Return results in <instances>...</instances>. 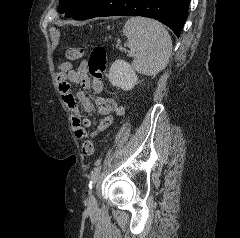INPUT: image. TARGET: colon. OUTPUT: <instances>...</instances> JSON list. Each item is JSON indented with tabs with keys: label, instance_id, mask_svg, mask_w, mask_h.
<instances>
[{
	"label": "colon",
	"instance_id": "5ec220e1",
	"mask_svg": "<svg viewBox=\"0 0 240 238\" xmlns=\"http://www.w3.org/2000/svg\"><path fill=\"white\" fill-rule=\"evenodd\" d=\"M87 49L85 47L69 48L66 51L68 60H76L85 55ZM107 66L106 50L103 46L94 47L89 55L88 68L94 80H101ZM87 136V134L85 135ZM84 136V137H85ZM82 152L84 155H92L94 152V143L91 137H87L82 144Z\"/></svg>",
	"mask_w": 240,
	"mask_h": 238
}]
</instances>
